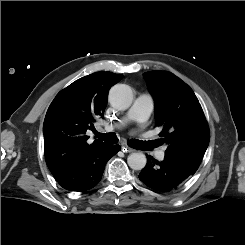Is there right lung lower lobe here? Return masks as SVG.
<instances>
[{"mask_svg":"<svg viewBox=\"0 0 245 245\" xmlns=\"http://www.w3.org/2000/svg\"><path fill=\"white\" fill-rule=\"evenodd\" d=\"M120 149L119 145L105 143L91 153L69 163L54 178L66 190L77 192L89 190L100 182L106 163Z\"/></svg>","mask_w":245,"mask_h":245,"instance_id":"1","label":"right lung lower lobe"}]
</instances>
